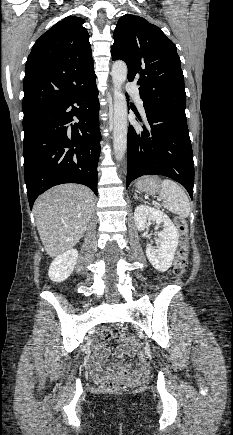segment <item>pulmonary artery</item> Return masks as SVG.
Here are the masks:
<instances>
[{
	"label": "pulmonary artery",
	"mask_w": 233,
	"mask_h": 435,
	"mask_svg": "<svg viewBox=\"0 0 233 435\" xmlns=\"http://www.w3.org/2000/svg\"><path fill=\"white\" fill-rule=\"evenodd\" d=\"M127 92L134 98L140 110L144 111L143 102L140 97V91L138 87L129 83L127 85Z\"/></svg>",
	"instance_id": "pulmonary-artery-1"
}]
</instances>
